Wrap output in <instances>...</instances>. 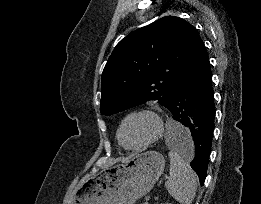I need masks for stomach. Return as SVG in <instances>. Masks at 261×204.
Here are the masks:
<instances>
[{"instance_id": "stomach-1", "label": "stomach", "mask_w": 261, "mask_h": 204, "mask_svg": "<svg viewBox=\"0 0 261 204\" xmlns=\"http://www.w3.org/2000/svg\"><path fill=\"white\" fill-rule=\"evenodd\" d=\"M165 168V159L156 151L130 159L85 177L71 204H134L146 195Z\"/></svg>"}]
</instances>
